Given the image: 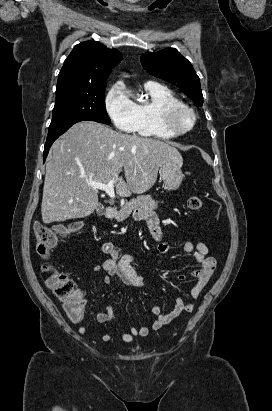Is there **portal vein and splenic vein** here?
<instances>
[{
	"mask_svg": "<svg viewBox=\"0 0 272 411\" xmlns=\"http://www.w3.org/2000/svg\"><path fill=\"white\" fill-rule=\"evenodd\" d=\"M116 180L112 179L110 180L107 184H102V183H98V182H89V184L91 186H93L96 189L102 190L104 192L107 193V195L111 198L114 199L115 198V192H114V184H115Z\"/></svg>",
	"mask_w": 272,
	"mask_h": 411,
	"instance_id": "obj_1",
	"label": "portal vein and splenic vein"
}]
</instances>
